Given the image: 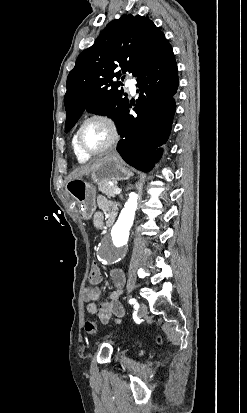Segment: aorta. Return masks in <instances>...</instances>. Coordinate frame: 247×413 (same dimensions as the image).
Here are the masks:
<instances>
[{"label":"aorta","mask_w":247,"mask_h":413,"mask_svg":"<svg viewBox=\"0 0 247 413\" xmlns=\"http://www.w3.org/2000/svg\"><path fill=\"white\" fill-rule=\"evenodd\" d=\"M137 194L132 192L124 205L117 222L112 228V236L118 245H124L128 241L129 231L132 227L137 208Z\"/></svg>","instance_id":"762f6f07"}]
</instances>
